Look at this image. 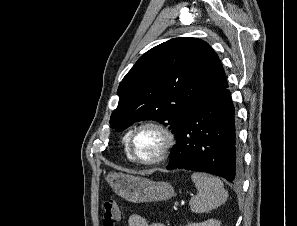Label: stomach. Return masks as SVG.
Segmentation results:
<instances>
[{
  "label": "stomach",
  "mask_w": 297,
  "mask_h": 226,
  "mask_svg": "<svg viewBox=\"0 0 297 226\" xmlns=\"http://www.w3.org/2000/svg\"><path fill=\"white\" fill-rule=\"evenodd\" d=\"M106 180L116 194L134 203L161 201L175 195L168 182H155L122 173H109Z\"/></svg>",
  "instance_id": "obj_1"
}]
</instances>
